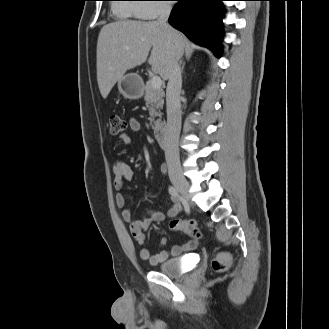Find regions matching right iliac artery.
I'll return each instance as SVG.
<instances>
[{"instance_id":"obj_1","label":"right iliac artery","mask_w":329,"mask_h":329,"mask_svg":"<svg viewBox=\"0 0 329 329\" xmlns=\"http://www.w3.org/2000/svg\"><path fill=\"white\" fill-rule=\"evenodd\" d=\"M168 191L172 196L177 197V198H181L178 190L175 187L169 186Z\"/></svg>"}]
</instances>
